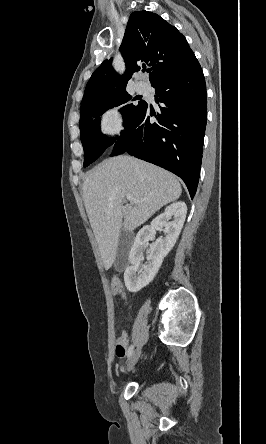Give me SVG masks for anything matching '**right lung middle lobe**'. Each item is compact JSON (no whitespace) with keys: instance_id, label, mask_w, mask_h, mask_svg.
Returning <instances> with one entry per match:
<instances>
[{"instance_id":"obj_1","label":"right lung middle lobe","mask_w":266,"mask_h":444,"mask_svg":"<svg viewBox=\"0 0 266 444\" xmlns=\"http://www.w3.org/2000/svg\"><path fill=\"white\" fill-rule=\"evenodd\" d=\"M135 100V98L133 99ZM126 128L142 112L145 102L131 103V96L125 91L116 90L86 102L80 107V132L84 148V167L98 159L110 147L114 140L108 139L100 132V116L113 106H120Z\"/></svg>"}]
</instances>
